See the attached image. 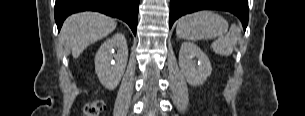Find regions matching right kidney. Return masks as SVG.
<instances>
[{"instance_id":"ca27d5eb","label":"right kidney","mask_w":305,"mask_h":116,"mask_svg":"<svg viewBox=\"0 0 305 116\" xmlns=\"http://www.w3.org/2000/svg\"><path fill=\"white\" fill-rule=\"evenodd\" d=\"M127 60L126 38L123 33H116L100 46L95 56V71L101 84L114 90L124 74Z\"/></svg>"}]
</instances>
